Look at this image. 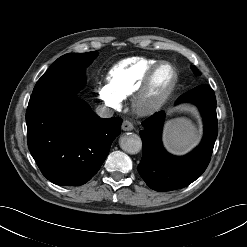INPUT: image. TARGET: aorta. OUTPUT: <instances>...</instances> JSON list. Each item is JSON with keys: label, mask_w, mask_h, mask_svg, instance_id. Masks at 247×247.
<instances>
[{"label": "aorta", "mask_w": 247, "mask_h": 247, "mask_svg": "<svg viewBox=\"0 0 247 247\" xmlns=\"http://www.w3.org/2000/svg\"><path fill=\"white\" fill-rule=\"evenodd\" d=\"M119 144L121 149L129 154H137L142 148L141 138L135 133L123 135L119 140Z\"/></svg>", "instance_id": "1"}]
</instances>
